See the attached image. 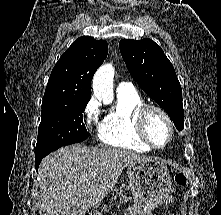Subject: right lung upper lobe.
<instances>
[{"instance_id":"cb5924a9","label":"right lung upper lobe","mask_w":221,"mask_h":215,"mask_svg":"<svg viewBox=\"0 0 221 215\" xmlns=\"http://www.w3.org/2000/svg\"><path fill=\"white\" fill-rule=\"evenodd\" d=\"M105 40L79 37L54 66L44 93L43 103L58 100H90L91 81L107 57Z\"/></svg>"}]
</instances>
